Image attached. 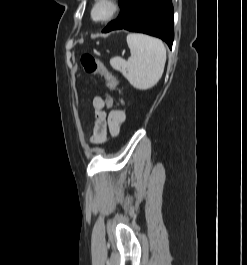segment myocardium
I'll list each match as a JSON object with an SVG mask.
<instances>
[{
  "label": "myocardium",
  "mask_w": 247,
  "mask_h": 265,
  "mask_svg": "<svg viewBox=\"0 0 247 265\" xmlns=\"http://www.w3.org/2000/svg\"><path fill=\"white\" fill-rule=\"evenodd\" d=\"M100 7L105 8V13L98 16L96 12ZM122 8L123 3L121 0H95L90 10V16L94 22L107 23L119 15Z\"/></svg>",
  "instance_id": "myocardium-1"
}]
</instances>
